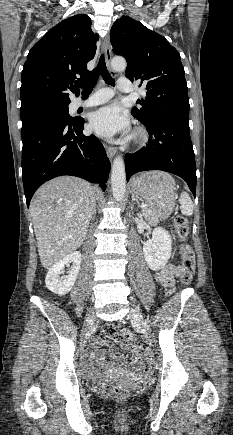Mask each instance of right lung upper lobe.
<instances>
[{"label":"right lung upper lobe","instance_id":"1","mask_svg":"<svg viewBox=\"0 0 233 435\" xmlns=\"http://www.w3.org/2000/svg\"><path fill=\"white\" fill-rule=\"evenodd\" d=\"M98 35L91 19L78 14L50 29L29 51L21 77L20 115L70 104L74 85L88 78L87 63L96 53Z\"/></svg>","mask_w":233,"mask_h":435}]
</instances>
